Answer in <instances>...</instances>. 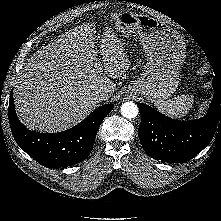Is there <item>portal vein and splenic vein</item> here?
<instances>
[{"instance_id": "portal-vein-and-splenic-vein-1", "label": "portal vein and splenic vein", "mask_w": 221, "mask_h": 221, "mask_svg": "<svg viewBox=\"0 0 221 221\" xmlns=\"http://www.w3.org/2000/svg\"><path fill=\"white\" fill-rule=\"evenodd\" d=\"M100 66H101V64H98V66H97V67L99 68Z\"/></svg>"}]
</instances>
